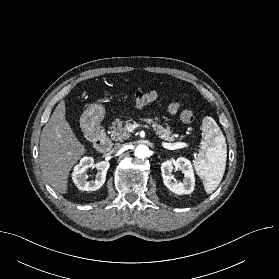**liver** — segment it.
<instances>
[{
    "label": "liver",
    "mask_w": 279,
    "mask_h": 279,
    "mask_svg": "<svg viewBox=\"0 0 279 279\" xmlns=\"http://www.w3.org/2000/svg\"><path fill=\"white\" fill-rule=\"evenodd\" d=\"M86 152L65 118L62 100L42 129L39 147L40 168L53 189L67 193L69 173Z\"/></svg>",
    "instance_id": "obj_1"
}]
</instances>
